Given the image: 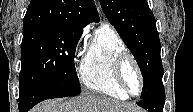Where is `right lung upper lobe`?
I'll use <instances>...</instances> for the list:
<instances>
[{
    "mask_svg": "<svg viewBox=\"0 0 193 112\" xmlns=\"http://www.w3.org/2000/svg\"><path fill=\"white\" fill-rule=\"evenodd\" d=\"M93 0H31L23 20V31L37 27L80 29L99 22Z\"/></svg>",
    "mask_w": 193,
    "mask_h": 112,
    "instance_id": "obj_1",
    "label": "right lung upper lobe"
}]
</instances>
